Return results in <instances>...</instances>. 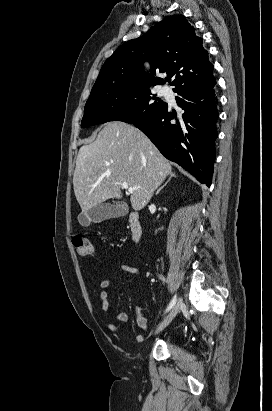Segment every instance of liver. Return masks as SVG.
<instances>
[{
	"label": "liver",
	"mask_w": 272,
	"mask_h": 411,
	"mask_svg": "<svg viewBox=\"0 0 272 411\" xmlns=\"http://www.w3.org/2000/svg\"><path fill=\"white\" fill-rule=\"evenodd\" d=\"M170 162L139 129L110 122L96 140L80 148L73 176L76 199L82 212L108 199L122 198V184L140 187L131 191L134 210L143 209L156 188L171 173Z\"/></svg>",
	"instance_id": "obj_1"
}]
</instances>
